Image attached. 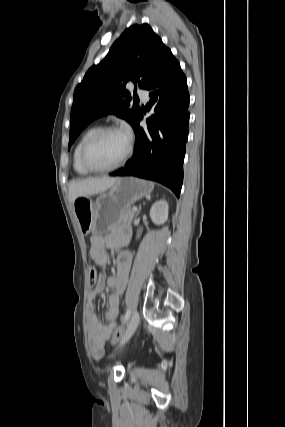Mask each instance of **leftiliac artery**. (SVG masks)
<instances>
[{"label":"left iliac artery","mask_w":285,"mask_h":427,"mask_svg":"<svg viewBox=\"0 0 285 427\" xmlns=\"http://www.w3.org/2000/svg\"><path fill=\"white\" fill-rule=\"evenodd\" d=\"M130 315H131V311H130V309H127V311L123 317V321L124 322L128 321V319L130 318Z\"/></svg>","instance_id":"obj_1"}]
</instances>
